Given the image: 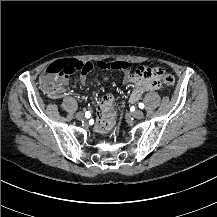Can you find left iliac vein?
Masks as SVG:
<instances>
[{
	"label": "left iliac vein",
	"mask_w": 217,
	"mask_h": 217,
	"mask_svg": "<svg viewBox=\"0 0 217 217\" xmlns=\"http://www.w3.org/2000/svg\"><path fill=\"white\" fill-rule=\"evenodd\" d=\"M132 116L135 118V119H142L144 117V113L143 111L141 110H136L132 113Z\"/></svg>",
	"instance_id": "1"
}]
</instances>
